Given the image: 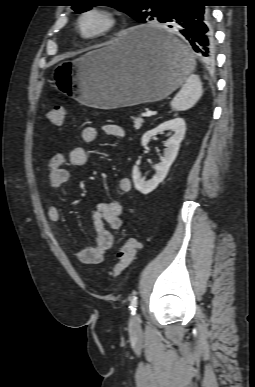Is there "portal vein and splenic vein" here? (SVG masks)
Returning a JSON list of instances; mask_svg holds the SVG:
<instances>
[{
	"label": "portal vein and splenic vein",
	"mask_w": 255,
	"mask_h": 387,
	"mask_svg": "<svg viewBox=\"0 0 255 387\" xmlns=\"http://www.w3.org/2000/svg\"><path fill=\"white\" fill-rule=\"evenodd\" d=\"M153 114H154L153 111L148 110V111H146V113L144 114V116H145V117H150V116H152Z\"/></svg>",
	"instance_id": "portal-vein-and-splenic-vein-1"
}]
</instances>
